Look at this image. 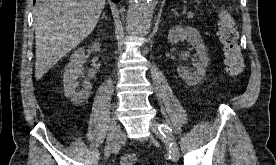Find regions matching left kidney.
<instances>
[{
	"label": "left kidney",
	"instance_id": "left-kidney-1",
	"mask_svg": "<svg viewBox=\"0 0 276 165\" xmlns=\"http://www.w3.org/2000/svg\"><path fill=\"white\" fill-rule=\"evenodd\" d=\"M184 37H187L188 41L196 46V51L199 58L193 64L195 70L189 69L186 66H179L177 68V72L188 85L193 86L198 84L206 75V68L208 66L209 59L202 37L196 28H182L180 25H177L170 29L168 34V41L171 44H177L179 40Z\"/></svg>",
	"mask_w": 276,
	"mask_h": 165
}]
</instances>
